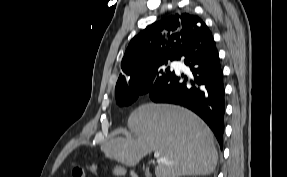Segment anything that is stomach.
Masks as SVG:
<instances>
[{
  "label": "stomach",
  "mask_w": 287,
  "mask_h": 177,
  "mask_svg": "<svg viewBox=\"0 0 287 177\" xmlns=\"http://www.w3.org/2000/svg\"><path fill=\"white\" fill-rule=\"evenodd\" d=\"M114 174L117 176H123L126 173V169L121 166H116L113 170Z\"/></svg>",
  "instance_id": "obj_1"
}]
</instances>
